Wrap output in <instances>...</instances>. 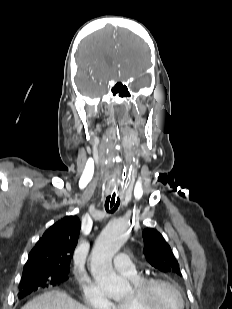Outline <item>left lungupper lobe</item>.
<instances>
[{"instance_id":"left-lung-upper-lobe-1","label":"left lung upper lobe","mask_w":232,"mask_h":309,"mask_svg":"<svg viewBox=\"0 0 232 309\" xmlns=\"http://www.w3.org/2000/svg\"><path fill=\"white\" fill-rule=\"evenodd\" d=\"M144 254L147 261L162 272L182 276L178 261L163 236L155 229L143 231Z\"/></svg>"}]
</instances>
